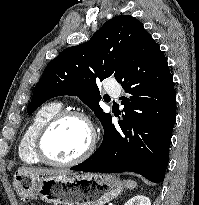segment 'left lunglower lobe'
I'll use <instances>...</instances> for the list:
<instances>
[{"instance_id": "1", "label": "left lung lower lobe", "mask_w": 199, "mask_h": 205, "mask_svg": "<svg viewBox=\"0 0 199 205\" xmlns=\"http://www.w3.org/2000/svg\"><path fill=\"white\" fill-rule=\"evenodd\" d=\"M123 120L104 128L96 152L71 170L86 172H135L151 182L164 180L169 146L176 120V94L167 59L144 30L126 60L118 80Z\"/></svg>"}]
</instances>
